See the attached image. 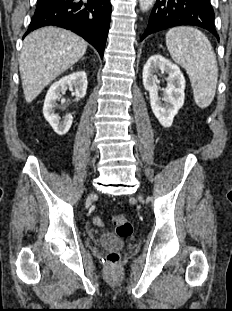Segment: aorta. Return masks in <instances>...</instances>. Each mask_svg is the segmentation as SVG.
<instances>
[{
	"label": "aorta",
	"instance_id": "762f6f07",
	"mask_svg": "<svg viewBox=\"0 0 232 311\" xmlns=\"http://www.w3.org/2000/svg\"><path fill=\"white\" fill-rule=\"evenodd\" d=\"M156 0H139L140 9L143 12L148 11Z\"/></svg>",
	"mask_w": 232,
	"mask_h": 311
}]
</instances>
